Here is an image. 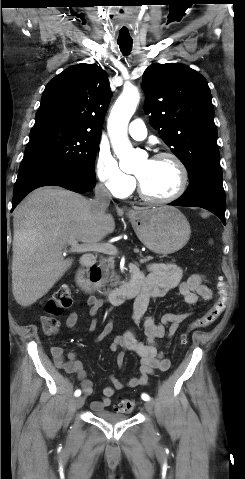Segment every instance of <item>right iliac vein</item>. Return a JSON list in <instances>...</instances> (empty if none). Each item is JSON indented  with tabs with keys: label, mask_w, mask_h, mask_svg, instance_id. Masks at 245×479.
I'll list each match as a JSON object with an SVG mask.
<instances>
[{
	"label": "right iliac vein",
	"mask_w": 245,
	"mask_h": 479,
	"mask_svg": "<svg viewBox=\"0 0 245 479\" xmlns=\"http://www.w3.org/2000/svg\"><path fill=\"white\" fill-rule=\"evenodd\" d=\"M84 404V398L81 396V397H78L74 400V409H79L83 406Z\"/></svg>",
	"instance_id": "1"
}]
</instances>
